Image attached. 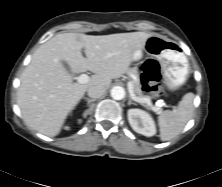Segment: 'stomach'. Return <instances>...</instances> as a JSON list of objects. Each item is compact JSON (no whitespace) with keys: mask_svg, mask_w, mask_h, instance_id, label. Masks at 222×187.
Here are the masks:
<instances>
[{"mask_svg":"<svg viewBox=\"0 0 222 187\" xmlns=\"http://www.w3.org/2000/svg\"><path fill=\"white\" fill-rule=\"evenodd\" d=\"M143 52L159 61L169 88L177 89L187 81L190 74L189 62L181 46L175 41L153 34L142 48L135 50L133 61L141 59Z\"/></svg>","mask_w":222,"mask_h":187,"instance_id":"obj_1","label":"stomach"}]
</instances>
